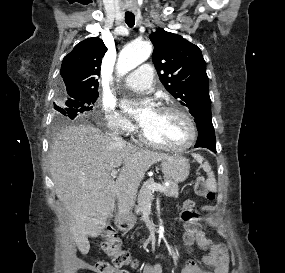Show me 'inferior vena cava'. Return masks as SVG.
Here are the masks:
<instances>
[{
  "mask_svg": "<svg viewBox=\"0 0 285 273\" xmlns=\"http://www.w3.org/2000/svg\"><path fill=\"white\" fill-rule=\"evenodd\" d=\"M108 135L113 139V140H116V141H119V142H122L123 139L122 137L119 136V132L117 129L113 130L112 132L108 133Z\"/></svg>",
  "mask_w": 285,
  "mask_h": 273,
  "instance_id": "inferior-vena-cava-1",
  "label": "inferior vena cava"
}]
</instances>
